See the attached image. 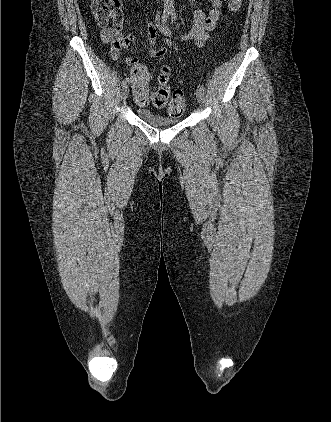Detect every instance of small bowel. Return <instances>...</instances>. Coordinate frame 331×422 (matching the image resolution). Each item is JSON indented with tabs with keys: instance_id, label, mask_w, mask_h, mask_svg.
<instances>
[{
	"instance_id": "small-bowel-1",
	"label": "small bowel",
	"mask_w": 331,
	"mask_h": 422,
	"mask_svg": "<svg viewBox=\"0 0 331 422\" xmlns=\"http://www.w3.org/2000/svg\"><path fill=\"white\" fill-rule=\"evenodd\" d=\"M211 3V9L205 13L202 9H196L193 13V26L191 29L182 34L175 33L165 23L160 22L159 16L156 17L155 21L147 26V37L148 47L147 53L153 58H162L167 54L168 49L178 52L179 46L173 41H193L197 47H201L208 38V33L214 30L217 21L219 20L221 9L224 0H209ZM158 33H162L167 36L162 40V47L159 49L154 48V44L157 39ZM102 40L105 43H109L110 56L112 59L117 60L120 56L122 48H128L132 43L135 42L134 36L126 30L122 29V20L115 22L113 28L105 29L101 32ZM126 62L132 67L140 63V60L136 57L127 56ZM126 80L133 88L135 100L139 105H145L148 102V96L144 102H140L136 98V90L141 86H146L138 78L132 74L126 77ZM148 90V89H147Z\"/></svg>"
}]
</instances>
